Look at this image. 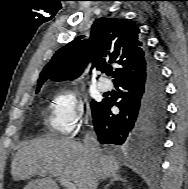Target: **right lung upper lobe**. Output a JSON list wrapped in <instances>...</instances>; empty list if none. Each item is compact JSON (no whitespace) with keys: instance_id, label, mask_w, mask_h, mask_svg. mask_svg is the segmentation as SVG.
<instances>
[{"instance_id":"cb5924a9","label":"right lung upper lobe","mask_w":188,"mask_h":189,"mask_svg":"<svg viewBox=\"0 0 188 189\" xmlns=\"http://www.w3.org/2000/svg\"><path fill=\"white\" fill-rule=\"evenodd\" d=\"M140 30L133 23L119 18H99L88 40L84 36L60 48L44 67L38 79L37 91L47 79L77 78L90 61L91 68L102 72L115 69L114 84L142 73L146 68L147 51L139 38Z\"/></svg>"}]
</instances>
